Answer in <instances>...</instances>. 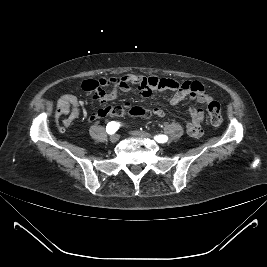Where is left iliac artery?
Instances as JSON below:
<instances>
[{"mask_svg":"<svg viewBox=\"0 0 267 267\" xmlns=\"http://www.w3.org/2000/svg\"><path fill=\"white\" fill-rule=\"evenodd\" d=\"M155 140L159 143H165L168 140V138L166 135H157L155 136Z\"/></svg>","mask_w":267,"mask_h":267,"instance_id":"obj_1","label":"left iliac artery"}]
</instances>
